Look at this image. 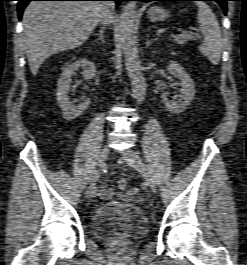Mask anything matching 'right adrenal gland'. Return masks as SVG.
<instances>
[{"instance_id":"obj_1","label":"right adrenal gland","mask_w":247,"mask_h":265,"mask_svg":"<svg viewBox=\"0 0 247 265\" xmlns=\"http://www.w3.org/2000/svg\"><path fill=\"white\" fill-rule=\"evenodd\" d=\"M97 40H101L102 43H105V40H104V29L103 28L100 30V33H99V36H98Z\"/></svg>"}]
</instances>
